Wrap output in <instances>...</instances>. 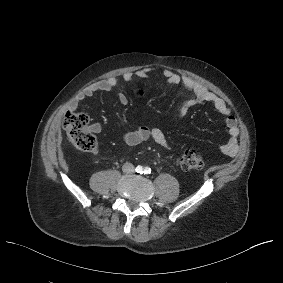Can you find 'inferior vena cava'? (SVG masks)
Instances as JSON below:
<instances>
[{
    "mask_svg": "<svg viewBox=\"0 0 283 283\" xmlns=\"http://www.w3.org/2000/svg\"><path fill=\"white\" fill-rule=\"evenodd\" d=\"M135 170L134 168V165L132 163H125L123 166H122V171L125 172V173H133Z\"/></svg>",
    "mask_w": 283,
    "mask_h": 283,
    "instance_id": "602c4592",
    "label": "inferior vena cava"
}]
</instances>
